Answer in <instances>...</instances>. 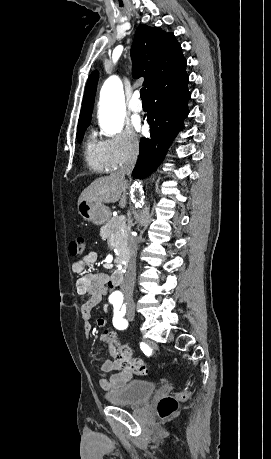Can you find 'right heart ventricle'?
<instances>
[{
  "label": "right heart ventricle",
  "mask_w": 271,
  "mask_h": 459,
  "mask_svg": "<svg viewBox=\"0 0 271 459\" xmlns=\"http://www.w3.org/2000/svg\"><path fill=\"white\" fill-rule=\"evenodd\" d=\"M84 159L89 169L94 171H109L111 166L106 158L104 149L97 143L92 135L87 137L84 147Z\"/></svg>",
  "instance_id": "obj_1"
}]
</instances>
